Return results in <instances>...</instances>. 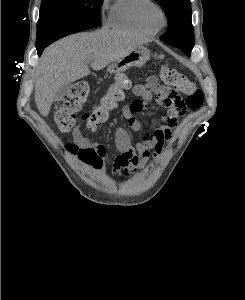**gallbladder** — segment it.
<instances>
[{
  "label": "gallbladder",
  "mask_w": 245,
  "mask_h": 300,
  "mask_svg": "<svg viewBox=\"0 0 245 300\" xmlns=\"http://www.w3.org/2000/svg\"><path fill=\"white\" fill-rule=\"evenodd\" d=\"M71 91V85L70 84H66L63 87H61L58 92L56 93V97L55 99H60L65 95H68Z\"/></svg>",
  "instance_id": "1"
}]
</instances>
